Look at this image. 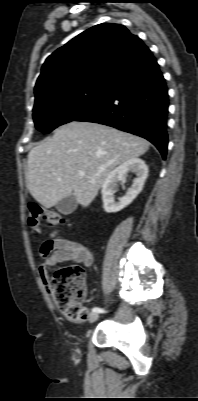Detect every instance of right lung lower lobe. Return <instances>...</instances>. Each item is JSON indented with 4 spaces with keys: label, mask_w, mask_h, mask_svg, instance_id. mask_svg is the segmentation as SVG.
Listing matches in <instances>:
<instances>
[{
    "label": "right lung lower lobe",
    "mask_w": 198,
    "mask_h": 401,
    "mask_svg": "<svg viewBox=\"0 0 198 401\" xmlns=\"http://www.w3.org/2000/svg\"><path fill=\"white\" fill-rule=\"evenodd\" d=\"M168 94L165 79L149 52L112 80L100 100L74 121L95 122L141 136L167 153Z\"/></svg>",
    "instance_id": "1"
}]
</instances>
